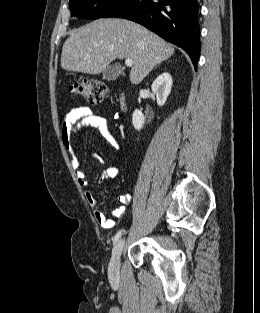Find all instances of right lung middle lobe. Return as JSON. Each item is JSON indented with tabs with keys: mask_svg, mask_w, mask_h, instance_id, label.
Segmentation results:
<instances>
[{
	"mask_svg": "<svg viewBox=\"0 0 260 313\" xmlns=\"http://www.w3.org/2000/svg\"><path fill=\"white\" fill-rule=\"evenodd\" d=\"M123 0H70L71 15L80 18L98 19Z\"/></svg>",
	"mask_w": 260,
	"mask_h": 313,
	"instance_id": "right-lung-middle-lobe-1",
	"label": "right lung middle lobe"
}]
</instances>
